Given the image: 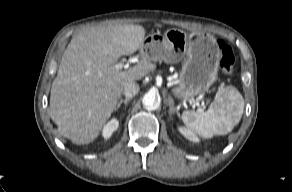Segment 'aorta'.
I'll return each instance as SVG.
<instances>
[{
	"label": "aorta",
	"mask_w": 292,
	"mask_h": 192,
	"mask_svg": "<svg viewBox=\"0 0 292 192\" xmlns=\"http://www.w3.org/2000/svg\"><path fill=\"white\" fill-rule=\"evenodd\" d=\"M143 106L148 110H155L160 105V99L154 92H147L142 99Z\"/></svg>",
	"instance_id": "1"
}]
</instances>
